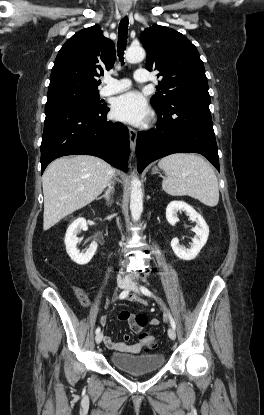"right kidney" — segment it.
Segmentation results:
<instances>
[{"instance_id":"right-kidney-1","label":"right kidney","mask_w":264,"mask_h":415,"mask_svg":"<svg viewBox=\"0 0 264 415\" xmlns=\"http://www.w3.org/2000/svg\"><path fill=\"white\" fill-rule=\"evenodd\" d=\"M87 223L84 218H77L68 227L65 235V246L67 254L79 265H85L90 262L97 250V243L93 241L85 253H81L77 248V233L81 230H87Z\"/></svg>"}]
</instances>
